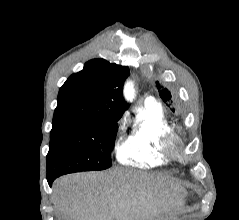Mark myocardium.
<instances>
[{"label":"myocardium","mask_w":239,"mask_h":220,"mask_svg":"<svg viewBox=\"0 0 239 220\" xmlns=\"http://www.w3.org/2000/svg\"><path fill=\"white\" fill-rule=\"evenodd\" d=\"M162 146L165 154L176 160H185V155L182 152L181 139L173 131L168 132L163 140Z\"/></svg>","instance_id":"f54148a6"}]
</instances>
